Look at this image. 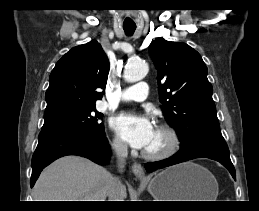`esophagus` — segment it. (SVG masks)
<instances>
[{"label":"esophagus","instance_id":"esophagus-1","mask_svg":"<svg viewBox=\"0 0 259 211\" xmlns=\"http://www.w3.org/2000/svg\"><path fill=\"white\" fill-rule=\"evenodd\" d=\"M132 172L139 180H145L146 176L144 173V169L140 163H133L132 165Z\"/></svg>","mask_w":259,"mask_h":211}]
</instances>
